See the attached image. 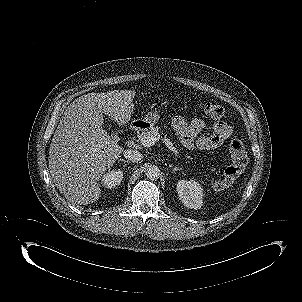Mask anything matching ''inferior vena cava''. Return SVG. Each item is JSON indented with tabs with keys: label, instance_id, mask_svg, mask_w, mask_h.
<instances>
[{
	"label": "inferior vena cava",
	"instance_id": "obj_1",
	"mask_svg": "<svg viewBox=\"0 0 302 302\" xmlns=\"http://www.w3.org/2000/svg\"><path fill=\"white\" fill-rule=\"evenodd\" d=\"M123 155L128 161L132 162H139L143 158V155L139 151L134 149L124 150Z\"/></svg>",
	"mask_w": 302,
	"mask_h": 302
}]
</instances>
